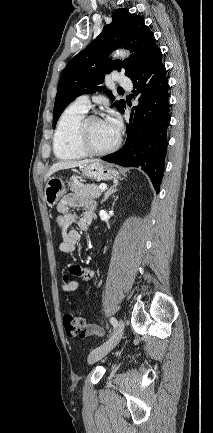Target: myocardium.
<instances>
[{
    "label": "myocardium",
    "instance_id": "1",
    "mask_svg": "<svg viewBox=\"0 0 213 433\" xmlns=\"http://www.w3.org/2000/svg\"><path fill=\"white\" fill-rule=\"evenodd\" d=\"M94 120H101V117L98 116L97 114H87L84 115L83 118L80 120L75 135L77 146L86 155H92V156H103L116 151L121 144L120 133H118L115 143L107 149L98 150L91 146L88 140L87 130H88L89 123Z\"/></svg>",
    "mask_w": 213,
    "mask_h": 433
}]
</instances>
